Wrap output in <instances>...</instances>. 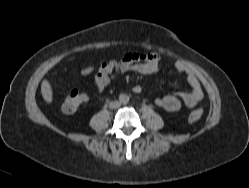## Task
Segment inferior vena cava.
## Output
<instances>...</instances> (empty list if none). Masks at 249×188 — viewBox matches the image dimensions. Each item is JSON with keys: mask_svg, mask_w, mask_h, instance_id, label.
<instances>
[{"mask_svg": "<svg viewBox=\"0 0 249 188\" xmlns=\"http://www.w3.org/2000/svg\"><path fill=\"white\" fill-rule=\"evenodd\" d=\"M119 106H120V102H118V101L111 102V103L109 104V107H110L111 109L118 108Z\"/></svg>", "mask_w": 249, "mask_h": 188, "instance_id": "602c4592", "label": "inferior vena cava"}]
</instances>
